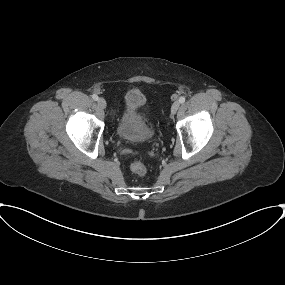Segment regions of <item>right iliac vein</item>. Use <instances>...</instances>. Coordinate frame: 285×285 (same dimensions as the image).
<instances>
[{"mask_svg": "<svg viewBox=\"0 0 285 285\" xmlns=\"http://www.w3.org/2000/svg\"><path fill=\"white\" fill-rule=\"evenodd\" d=\"M97 103H98V106L100 107V108H102V109H105L106 108V101H105V99H103V98H99L98 100H97Z\"/></svg>", "mask_w": 285, "mask_h": 285, "instance_id": "obj_1", "label": "right iliac vein"}]
</instances>
